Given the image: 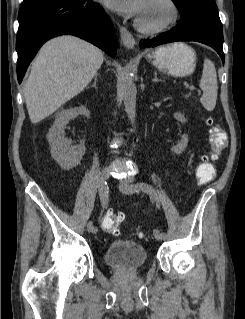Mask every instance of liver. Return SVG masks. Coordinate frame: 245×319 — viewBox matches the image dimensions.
I'll return each mask as SVG.
<instances>
[{
	"label": "liver",
	"instance_id": "1",
	"mask_svg": "<svg viewBox=\"0 0 245 319\" xmlns=\"http://www.w3.org/2000/svg\"><path fill=\"white\" fill-rule=\"evenodd\" d=\"M103 60L99 48L77 37L61 36L45 43L24 85L31 122L42 121L83 91Z\"/></svg>",
	"mask_w": 245,
	"mask_h": 319
}]
</instances>
